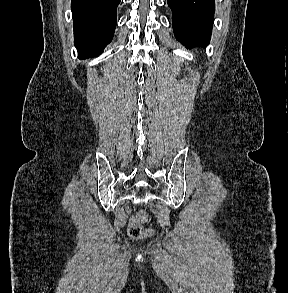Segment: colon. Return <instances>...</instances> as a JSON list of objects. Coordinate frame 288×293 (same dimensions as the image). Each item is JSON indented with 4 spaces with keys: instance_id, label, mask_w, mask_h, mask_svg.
Returning a JSON list of instances; mask_svg holds the SVG:
<instances>
[{
    "instance_id": "obj_1",
    "label": "colon",
    "mask_w": 288,
    "mask_h": 293,
    "mask_svg": "<svg viewBox=\"0 0 288 293\" xmlns=\"http://www.w3.org/2000/svg\"><path fill=\"white\" fill-rule=\"evenodd\" d=\"M146 220V214L140 212L135 214L129 223L128 226V235L132 239H140L144 236H147L150 231L143 228L142 224Z\"/></svg>"
}]
</instances>
